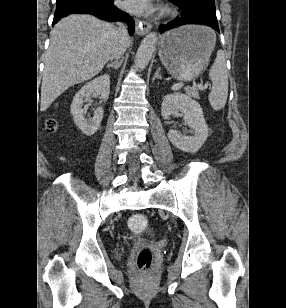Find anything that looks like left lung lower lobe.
Wrapping results in <instances>:
<instances>
[{"mask_svg":"<svg viewBox=\"0 0 286 308\" xmlns=\"http://www.w3.org/2000/svg\"><path fill=\"white\" fill-rule=\"evenodd\" d=\"M182 15L174 21L160 25L161 32L186 24H203L219 32L214 0H170Z\"/></svg>","mask_w":286,"mask_h":308,"instance_id":"left-lung-lower-lobe-1","label":"left lung lower lobe"}]
</instances>
